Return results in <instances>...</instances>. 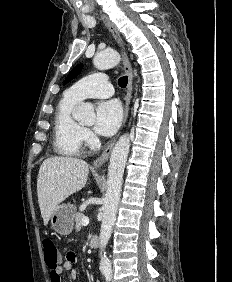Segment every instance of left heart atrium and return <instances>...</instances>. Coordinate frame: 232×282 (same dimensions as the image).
Instances as JSON below:
<instances>
[{
	"label": "left heart atrium",
	"mask_w": 232,
	"mask_h": 282,
	"mask_svg": "<svg viewBox=\"0 0 232 282\" xmlns=\"http://www.w3.org/2000/svg\"><path fill=\"white\" fill-rule=\"evenodd\" d=\"M122 121V107L117 100L102 101L96 108L94 128L104 136L116 132Z\"/></svg>",
	"instance_id": "39dd6f15"
}]
</instances>
